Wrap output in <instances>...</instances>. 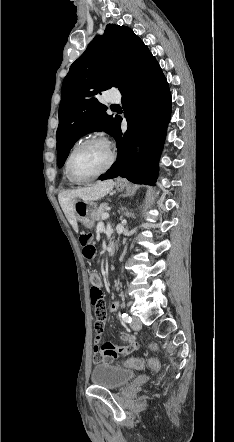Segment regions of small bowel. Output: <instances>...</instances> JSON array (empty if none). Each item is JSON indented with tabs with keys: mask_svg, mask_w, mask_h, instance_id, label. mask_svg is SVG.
<instances>
[{
	"mask_svg": "<svg viewBox=\"0 0 234 442\" xmlns=\"http://www.w3.org/2000/svg\"><path fill=\"white\" fill-rule=\"evenodd\" d=\"M99 288H101V281L97 284ZM108 309L110 311H117L119 309V302L113 301L110 303ZM109 317L107 314H98L96 319L93 321V326L95 328V337L93 341L95 345L93 347V352L95 356V361L97 362L96 367L99 370L102 369H112L113 364L117 363V359H121V355H132L134 350L139 349V342L135 341L134 336L128 334H122L120 339L124 342H127L126 347H116L111 343H104L102 345L99 344L101 339L104 337L105 328L108 326ZM128 363L127 361L125 362ZM143 363V362H142ZM144 365V363H143Z\"/></svg>",
	"mask_w": 234,
	"mask_h": 442,
	"instance_id": "obj_1",
	"label": "small bowel"
}]
</instances>
